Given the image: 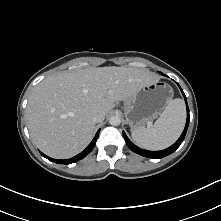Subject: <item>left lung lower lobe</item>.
Listing matches in <instances>:
<instances>
[{
	"label": "left lung lower lobe",
	"instance_id": "left-lung-lower-lobe-1",
	"mask_svg": "<svg viewBox=\"0 0 221 221\" xmlns=\"http://www.w3.org/2000/svg\"><path fill=\"white\" fill-rule=\"evenodd\" d=\"M179 86V85H178ZM183 96H184V99H185V102H186V107H187V120H186V125H185V128H184V131L183 133L181 134V136L179 137V139L172 145L170 146L169 148L165 149V150H161V151H148V150H144V149H141L139 147H137L136 145H134L129 139L128 137L126 136V134L123 132V137L128 145V147L135 153L141 155V156H144V157H148V158H154V159H160V158H163V157H166L170 154H172L180 145L181 143L183 142L184 138H185V135H186V132H187V129H188V125H189V121H190V116H189V108H188V105H187V99H186V96L183 92V90L181 89V87L179 86Z\"/></svg>",
	"mask_w": 221,
	"mask_h": 221
}]
</instances>
